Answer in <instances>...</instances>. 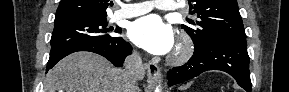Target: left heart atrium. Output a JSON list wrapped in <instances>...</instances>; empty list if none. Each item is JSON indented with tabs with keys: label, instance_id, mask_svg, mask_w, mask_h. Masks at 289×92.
<instances>
[{
	"label": "left heart atrium",
	"instance_id": "1",
	"mask_svg": "<svg viewBox=\"0 0 289 92\" xmlns=\"http://www.w3.org/2000/svg\"><path fill=\"white\" fill-rule=\"evenodd\" d=\"M128 35L136 45L156 55L170 52L175 44L171 27L157 15H148L133 22Z\"/></svg>",
	"mask_w": 289,
	"mask_h": 92
}]
</instances>
